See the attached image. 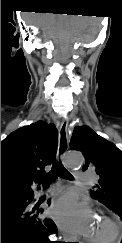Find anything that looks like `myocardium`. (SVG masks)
<instances>
[{
	"instance_id": "f54148a6",
	"label": "myocardium",
	"mask_w": 122,
	"mask_h": 243,
	"mask_svg": "<svg viewBox=\"0 0 122 243\" xmlns=\"http://www.w3.org/2000/svg\"><path fill=\"white\" fill-rule=\"evenodd\" d=\"M99 220L103 222L105 229L100 235L90 236L89 241L91 243H112L119 234L118 224L106 215H102Z\"/></svg>"
}]
</instances>
